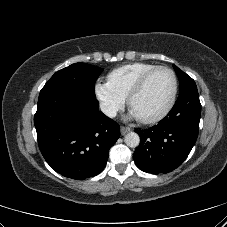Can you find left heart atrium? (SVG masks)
<instances>
[{
	"instance_id": "left-heart-atrium-1",
	"label": "left heart atrium",
	"mask_w": 227,
	"mask_h": 227,
	"mask_svg": "<svg viewBox=\"0 0 227 227\" xmlns=\"http://www.w3.org/2000/svg\"><path fill=\"white\" fill-rule=\"evenodd\" d=\"M130 115H131L132 117L138 118V116L133 112V110H131Z\"/></svg>"
}]
</instances>
